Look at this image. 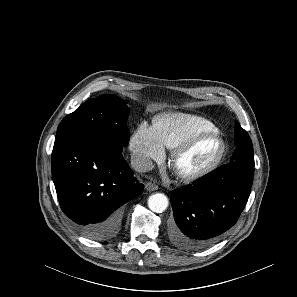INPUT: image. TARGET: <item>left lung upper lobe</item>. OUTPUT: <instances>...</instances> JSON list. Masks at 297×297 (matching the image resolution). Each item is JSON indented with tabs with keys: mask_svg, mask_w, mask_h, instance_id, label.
Instances as JSON below:
<instances>
[{
	"mask_svg": "<svg viewBox=\"0 0 297 297\" xmlns=\"http://www.w3.org/2000/svg\"><path fill=\"white\" fill-rule=\"evenodd\" d=\"M235 145L236 149L230 162L254 161V151L252 141L248 133L235 121Z\"/></svg>",
	"mask_w": 297,
	"mask_h": 297,
	"instance_id": "obj_1",
	"label": "left lung upper lobe"
}]
</instances>
